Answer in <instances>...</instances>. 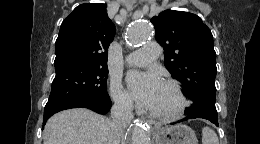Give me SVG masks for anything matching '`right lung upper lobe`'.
Returning a JSON list of instances; mask_svg holds the SVG:
<instances>
[{"instance_id": "cb5924a9", "label": "right lung upper lobe", "mask_w": 260, "mask_h": 144, "mask_svg": "<svg viewBox=\"0 0 260 144\" xmlns=\"http://www.w3.org/2000/svg\"><path fill=\"white\" fill-rule=\"evenodd\" d=\"M115 26L106 4H81L62 22L56 40L55 68L65 65L107 66Z\"/></svg>"}]
</instances>
